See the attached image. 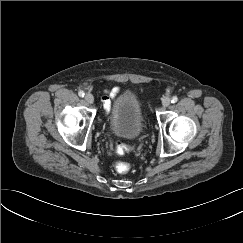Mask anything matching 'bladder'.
<instances>
[{
	"instance_id": "31cf9c89",
	"label": "bladder",
	"mask_w": 243,
	"mask_h": 243,
	"mask_svg": "<svg viewBox=\"0 0 243 243\" xmlns=\"http://www.w3.org/2000/svg\"><path fill=\"white\" fill-rule=\"evenodd\" d=\"M112 132L125 139H133L141 134L145 119L139 99L132 91H125L113 101L109 111Z\"/></svg>"
}]
</instances>
